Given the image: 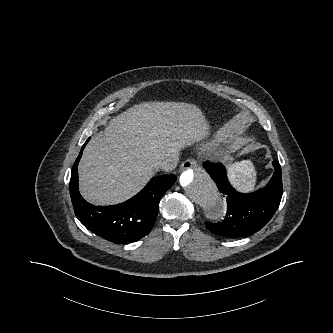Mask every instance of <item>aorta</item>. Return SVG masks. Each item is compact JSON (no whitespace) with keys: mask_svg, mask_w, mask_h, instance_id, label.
<instances>
[{"mask_svg":"<svg viewBox=\"0 0 333 333\" xmlns=\"http://www.w3.org/2000/svg\"><path fill=\"white\" fill-rule=\"evenodd\" d=\"M185 196L212 222L224 216L226 206L223 196L209 174L202 168L187 169L179 178Z\"/></svg>","mask_w":333,"mask_h":333,"instance_id":"obj_1","label":"aorta"}]
</instances>
